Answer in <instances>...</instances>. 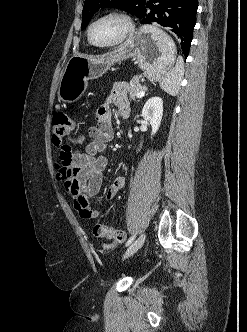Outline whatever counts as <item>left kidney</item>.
I'll return each mask as SVG.
<instances>
[{"label":"left kidney","mask_w":247,"mask_h":332,"mask_svg":"<svg viewBox=\"0 0 247 332\" xmlns=\"http://www.w3.org/2000/svg\"><path fill=\"white\" fill-rule=\"evenodd\" d=\"M163 116V100L160 97L150 98L142 109V117L152 127L153 136L158 131Z\"/></svg>","instance_id":"1"}]
</instances>
